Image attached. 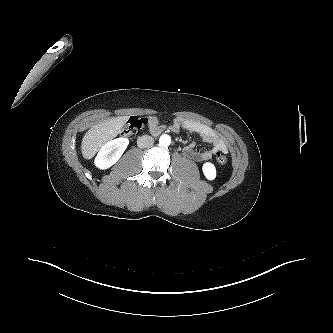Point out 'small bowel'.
Returning <instances> with one entry per match:
<instances>
[{
  "label": "small bowel",
  "mask_w": 333,
  "mask_h": 333,
  "mask_svg": "<svg viewBox=\"0 0 333 333\" xmlns=\"http://www.w3.org/2000/svg\"><path fill=\"white\" fill-rule=\"evenodd\" d=\"M148 128L150 132L157 134L163 129V126L159 123L157 117L151 116L148 118ZM181 128L197 134L204 142L212 145V149L203 151L196 149L194 142L186 145L184 153L192 160L203 162L211 159L217 152H227L224 140L211 127L190 119L178 118L174 120L171 129L176 131Z\"/></svg>",
  "instance_id": "obj_1"
}]
</instances>
